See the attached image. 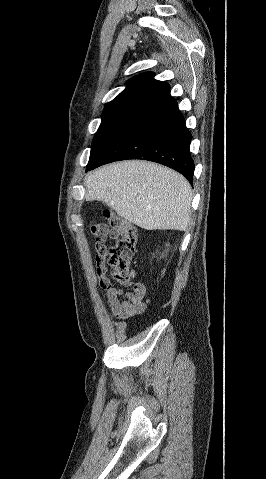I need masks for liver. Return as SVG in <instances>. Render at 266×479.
Returning a JSON list of instances; mask_svg holds the SVG:
<instances>
[{
    "instance_id": "1",
    "label": "liver",
    "mask_w": 266,
    "mask_h": 479,
    "mask_svg": "<svg viewBox=\"0 0 266 479\" xmlns=\"http://www.w3.org/2000/svg\"><path fill=\"white\" fill-rule=\"evenodd\" d=\"M85 200L101 201L125 220L146 230L186 231L191 186L167 167L138 160L101 167L85 178Z\"/></svg>"
}]
</instances>
